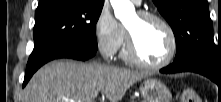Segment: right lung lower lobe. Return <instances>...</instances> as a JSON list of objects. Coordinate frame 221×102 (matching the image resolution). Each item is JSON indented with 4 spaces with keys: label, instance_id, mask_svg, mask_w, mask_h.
I'll return each instance as SVG.
<instances>
[{
    "label": "right lung lower lobe",
    "instance_id": "right-lung-lower-lobe-1",
    "mask_svg": "<svg viewBox=\"0 0 221 102\" xmlns=\"http://www.w3.org/2000/svg\"><path fill=\"white\" fill-rule=\"evenodd\" d=\"M96 54V50L87 46L69 44L58 47L47 52L32 63H28L24 77L23 87L27 84L32 75L45 63L58 58H72L77 60H87Z\"/></svg>",
    "mask_w": 221,
    "mask_h": 102
}]
</instances>
